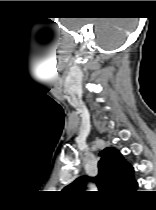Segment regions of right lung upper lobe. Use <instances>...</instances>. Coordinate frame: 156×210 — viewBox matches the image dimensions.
<instances>
[{
    "label": "right lung upper lobe",
    "instance_id": "1",
    "mask_svg": "<svg viewBox=\"0 0 156 210\" xmlns=\"http://www.w3.org/2000/svg\"><path fill=\"white\" fill-rule=\"evenodd\" d=\"M99 173L95 178L81 176L68 187L84 190L88 181H95L99 190L129 195L134 192L138 184L133 176V167L124 159L122 154L113 147L104 149L99 154Z\"/></svg>",
    "mask_w": 156,
    "mask_h": 210
}]
</instances>
